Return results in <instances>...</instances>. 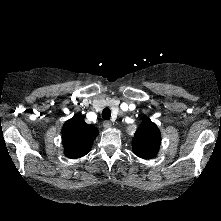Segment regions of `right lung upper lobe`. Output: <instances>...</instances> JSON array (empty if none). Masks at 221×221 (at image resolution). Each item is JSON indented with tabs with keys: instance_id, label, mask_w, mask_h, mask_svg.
Returning <instances> with one entry per match:
<instances>
[{
	"instance_id": "obj_1",
	"label": "right lung upper lobe",
	"mask_w": 221,
	"mask_h": 221,
	"mask_svg": "<svg viewBox=\"0 0 221 221\" xmlns=\"http://www.w3.org/2000/svg\"><path fill=\"white\" fill-rule=\"evenodd\" d=\"M98 134L99 131L95 126L85 123L81 116L75 115L66 121L62 128L65 155L69 158L86 155Z\"/></svg>"
}]
</instances>
